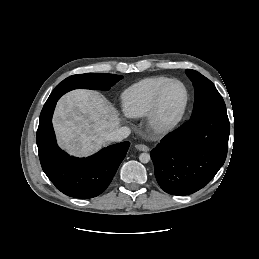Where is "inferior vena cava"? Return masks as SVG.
Wrapping results in <instances>:
<instances>
[{
  "mask_svg": "<svg viewBox=\"0 0 259 259\" xmlns=\"http://www.w3.org/2000/svg\"><path fill=\"white\" fill-rule=\"evenodd\" d=\"M130 133L131 130L128 127H120L106 134L105 140L110 142H120L127 138Z\"/></svg>",
  "mask_w": 259,
  "mask_h": 259,
  "instance_id": "602c4592",
  "label": "inferior vena cava"
}]
</instances>
